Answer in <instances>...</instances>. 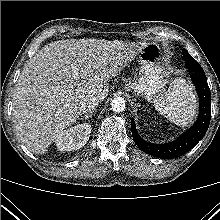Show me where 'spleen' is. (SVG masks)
Masks as SVG:
<instances>
[{
	"label": "spleen",
	"mask_w": 220,
	"mask_h": 220,
	"mask_svg": "<svg viewBox=\"0 0 220 220\" xmlns=\"http://www.w3.org/2000/svg\"><path fill=\"white\" fill-rule=\"evenodd\" d=\"M154 107L180 127L189 125L197 112V99L191 85L183 78L175 79L168 91L154 99Z\"/></svg>",
	"instance_id": "3e777b00"
}]
</instances>
